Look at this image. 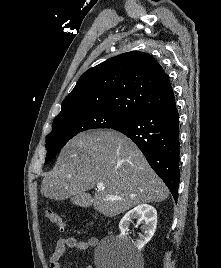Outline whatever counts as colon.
Masks as SVG:
<instances>
[{
  "mask_svg": "<svg viewBox=\"0 0 221 268\" xmlns=\"http://www.w3.org/2000/svg\"><path fill=\"white\" fill-rule=\"evenodd\" d=\"M45 217L52 223V225L58 227L60 230H64L66 228L64 220L54 211L46 210Z\"/></svg>",
  "mask_w": 221,
  "mask_h": 268,
  "instance_id": "5ec220e1",
  "label": "colon"
}]
</instances>
